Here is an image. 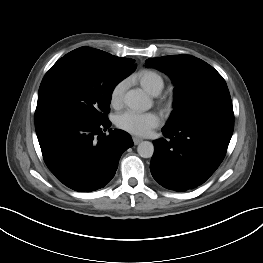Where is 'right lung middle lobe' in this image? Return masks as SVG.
<instances>
[{
	"mask_svg": "<svg viewBox=\"0 0 263 263\" xmlns=\"http://www.w3.org/2000/svg\"><path fill=\"white\" fill-rule=\"evenodd\" d=\"M135 69L71 51L52 66L41 82L35 124L53 118L107 120L113 89Z\"/></svg>",
	"mask_w": 263,
	"mask_h": 263,
	"instance_id": "obj_1",
	"label": "right lung middle lobe"
}]
</instances>
